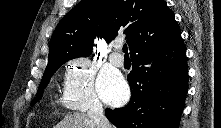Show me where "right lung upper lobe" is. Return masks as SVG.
Segmentation results:
<instances>
[{
	"instance_id": "right-lung-upper-lobe-1",
	"label": "right lung upper lobe",
	"mask_w": 221,
	"mask_h": 128,
	"mask_svg": "<svg viewBox=\"0 0 221 128\" xmlns=\"http://www.w3.org/2000/svg\"><path fill=\"white\" fill-rule=\"evenodd\" d=\"M121 33L126 35L131 57L167 47L181 37L164 0H83L58 23L48 64L87 57L96 36L110 43Z\"/></svg>"
}]
</instances>
